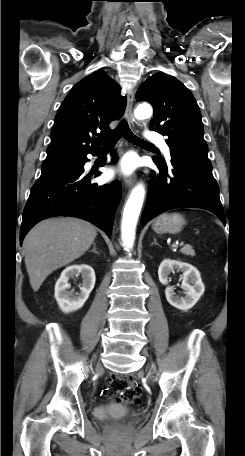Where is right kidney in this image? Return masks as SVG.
I'll use <instances>...</instances> for the list:
<instances>
[{
	"mask_svg": "<svg viewBox=\"0 0 245 456\" xmlns=\"http://www.w3.org/2000/svg\"><path fill=\"white\" fill-rule=\"evenodd\" d=\"M81 275L80 292L69 291V279ZM95 272L86 264L71 265L61 273L55 285V298L64 313H70L83 307L95 285Z\"/></svg>",
	"mask_w": 245,
	"mask_h": 456,
	"instance_id": "1",
	"label": "right kidney"
}]
</instances>
